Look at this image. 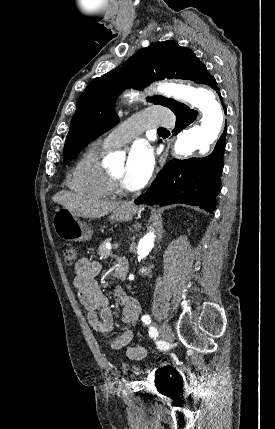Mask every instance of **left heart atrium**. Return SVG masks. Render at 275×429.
<instances>
[{
  "label": "left heart atrium",
  "instance_id": "obj_1",
  "mask_svg": "<svg viewBox=\"0 0 275 429\" xmlns=\"http://www.w3.org/2000/svg\"><path fill=\"white\" fill-rule=\"evenodd\" d=\"M153 152L145 141H138L131 147L123 176V183L129 190H137L145 185L152 168Z\"/></svg>",
  "mask_w": 275,
  "mask_h": 429
}]
</instances>
